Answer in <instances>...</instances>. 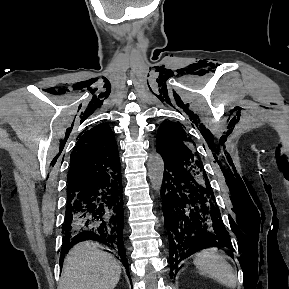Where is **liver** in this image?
I'll return each instance as SVG.
<instances>
[{"instance_id":"obj_1","label":"liver","mask_w":289,"mask_h":289,"mask_svg":"<svg viewBox=\"0 0 289 289\" xmlns=\"http://www.w3.org/2000/svg\"><path fill=\"white\" fill-rule=\"evenodd\" d=\"M121 266L94 242L76 244L65 257L59 289H114Z\"/></svg>"}]
</instances>
